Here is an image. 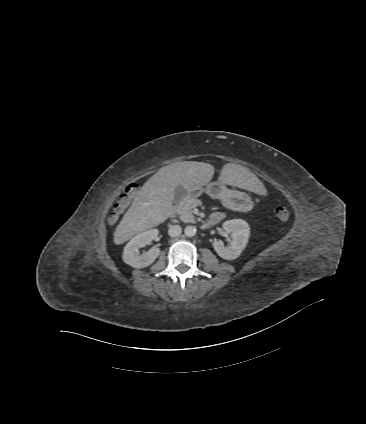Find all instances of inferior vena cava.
I'll list each match as a JSON object with an SVG mask.
<instances>
[{
    "label": "inferior vena cava",
    "mask_w": 366,
    "mask_h": 424,
    "mask_svg": "<svg viewBox=\"0 0 366 424\" xmlns=\"http://www.w3.org/2000/svg\"><path fill=\"white\" fill-rule=\"evenodd\" d=\"M181 232H182V229L179 225H172L168 230L169 236L173 238L179 236Z\"/></svg>",
    "instance_id": "obj_1"
}]
</instances>
